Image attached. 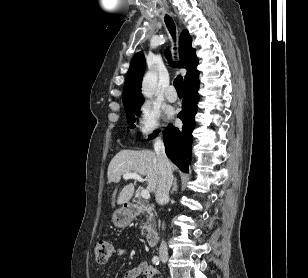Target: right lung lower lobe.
Wrapping results in <instances>:
<instances>
[{
  "label": "right lung lower lobe",
  "mask_w": 308,
  "mask_h": 278,
  "mask_svg": "<svg viewBox=\"0 0 308 278\" xmlns=\"http://www.w3.org/2000/svg\"><path fill=\"white\" fill-rule=\"evenodd\" d=\"M199 78L184 86L182 111L178 117L183 121L182 129L168 126L164 131V143L167 156L183 171L188 172L191 158L192 131L194 116L197 112Z\"/></svg>",
  "instance_id": "right-lung-lower-lobe-1"
}]
</instances>
